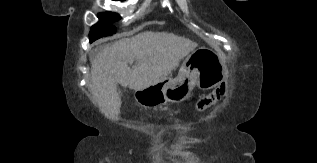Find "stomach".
<instances>
[{
  "instance_id": "0dacf381",
  "label": "stomach",
  "mask_w": 317,
  "mask_h": 163,
  "mask_svg": "<svg viewBox=\"0 0 317 163\" xmlns=\"http://www.w3.org/2000/svg\"><path fill=\"white\" fill-rule=\"evenodd\" d=\"M225 77L226 67L218 54L202 47L185 60L177 77L137 91L135 99L145 108L179 103L188 98L196 85L203 90L212 89L220 85Z\"/></svg>"
}]
</instances>
